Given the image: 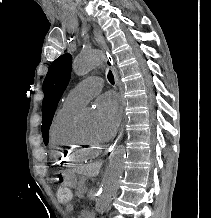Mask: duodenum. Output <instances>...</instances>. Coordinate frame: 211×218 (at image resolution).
I'll use <instances>...</instances> for the list:
<instances>
[{
	"instance_id": "410a0bca",
	"label": "duodenum",
	"mask_w": 211,
	"mask_h": 218,
	"mask_svg": "<svg viewBox=\"0 0 211 218\" xmlns=\"http://www.w3.org/2000/svg\"><path fill=\"white\" fill-rule=\"evenodd\" d=\"M80 215H81V218H92L93 217L91 211L87 209L82 210Z\"/></svg>"
}]
</instances>
